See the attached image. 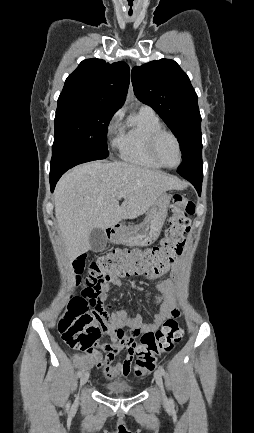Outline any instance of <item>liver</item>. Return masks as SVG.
Listing matches in <instances>:
<instances>
[{"label": "liver", "mask_w": 254, "mask_h": 433, "mask_svg": "<svg viewBox=\"0 0 254 433\" xmlns=\"http://www.w3.org/2000/svg\"><path fill=\"white\" fill-rule=\"evenodd\" d=\"M181 188L172 176L126 162L93 161L58 182L55 215L70 260L91 249L90 231L114 227L146 213L161 194ZM124 201L119 205V194Z\"/></svg>", "instance_id": "obj_1"}]
</instances>
